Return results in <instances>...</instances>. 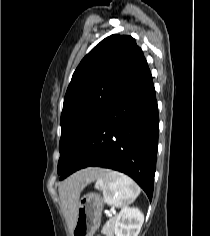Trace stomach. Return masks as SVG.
<instances>
[{
    "instance_id": "1",
    "label": "stomach",
    "mask_w": 210,
    "mask_h": 236,
    "mask_svg": "<svg viewBox=\"0 0 210 236\" xmlns=\"http://www.w3.org/2000/svg\"><path fill=\"white\" fill-rule=\"evenodd\" d=\"M104 200L96 193H87L79 201L77 219L71 236H93L98 229Z\"/></svg>"
}]
</instances>
